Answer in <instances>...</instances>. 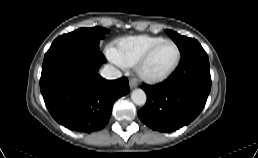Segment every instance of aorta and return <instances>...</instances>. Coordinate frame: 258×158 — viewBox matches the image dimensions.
Wrapping results in <instances>:
<instances>
[{"label":"aorta","instance_id":"obj_1","mask_svg":"<svg viewBox=\"0 0 258 158\" xmlns=\"http://www.w3.org/2000/svg\"><path fill=\"white\" fill-rule=\"evenodd\" d=\"M131 100L138 106H142L146 103V93L142 89H135L131 93Z\"/></svg>","mask_w":258,"mask_h":158}]
</instances>
